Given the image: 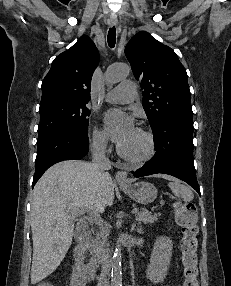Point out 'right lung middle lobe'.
<instances>
[{
	"label": "right lung middle lobe",
	"instance_id": "dd1d6c3e",
	"mask_svg": "<svg viewBox=\"0 0 231 286\" xmlns=\"http://www.w3.org/2000/svg\"><path fill=\"white\" fill-rule=\"evenodd\" d=\"M88 102L57 101L40 106L38 140L60 131L88 133Z\"/></svg>",
	"mask_w": 231,
	"mask_h": 286
}]
</instances>
